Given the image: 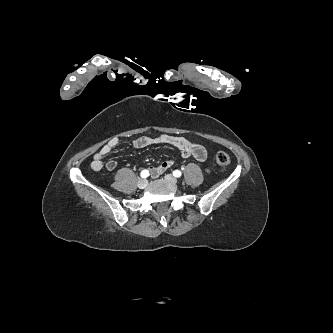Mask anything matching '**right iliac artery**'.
I'll return each mask as SVG.
<instances>
[{"mask_svg": "<svg viewBox=\"0 0 333 333\" xmlns=\"http://www.w3.org/2000/svg\"><path fill=\"white\" fill-rule=\"evenodd\" d=\"M149 176V171L148 170H143L142 172H141V177L142 178H147Z\"/></svg>", "mask_w": 333, "mask_h": 333, "instance_id": "82829eb1", "label": "right iliac artery"}]
</instances>
